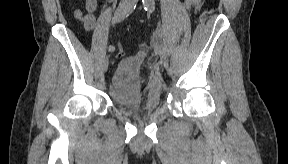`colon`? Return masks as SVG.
<instances>
[{"label": "colon", "mask_w": 288, "mask_h": 164, "mask_svg": "<svg viewBox=\"0 0 288 164\" xmlns=\"http://www.w3.org/2000/svg\"><path fill=\"white\" fill-rule=\"evenodd\" d=\"M85 14L87 16H93V9L88 6L86 8ZM115 46H120V43H115ZM118 55L119 58H123L126 55V52L123 51L122 47H119V52L116 53Z\"/></svg>", "instance_id": "1"}]
</instances>
